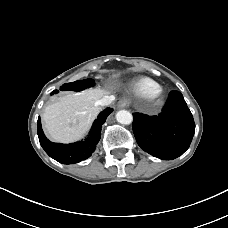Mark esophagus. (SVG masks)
I'll use <instances>...</instances> for the list:
<instances>
[{
	"instance_id": "1",
	"label": "esophagus",
	"mask_w": 228,
	"mask_h": 228,
	"mask_svg": "<svg viewBox=\"0 0 228 228\" xmlns=\"http://www.w3.org/2000/svg\"><path fill=\"white\" fill-rule=\"evenodd\" d=\"M128 106H129V101L126 99H123V100L119 101V103H118L119 108H126Z\"/></svg>"
}]
</instances>
